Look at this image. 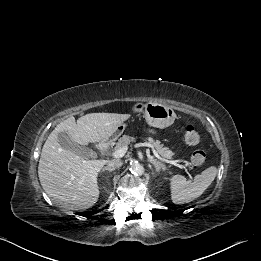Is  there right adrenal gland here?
<instances>
[{"label":"right adrenal gland","instance_id":"2a0ac1e0","mask_svg":"<svg viewBox=\"0 0 261 261\" xmlns=\"http://www.w3.org/2000/svg\"><path fill=\"white\" fill-rule=\"evenodd\" d=\"M104 171L112 172L113 169H112V168H109V167L107 166V167H104V168L102 169V172H104Z\"/></svg>","mask_w":261,"mask_h":261}]
</instances>
